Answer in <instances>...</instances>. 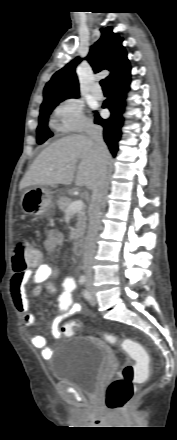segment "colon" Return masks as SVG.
Wrapping results in <instances>:
<instances>
[{
	"label": "colon",
	"instance_id": "obj_1",
	"mask_svg": "<svg viewBox=\"0 0 177 440\" xmlns=\"http://www.w3.org/2000/svg\"><path fill=\"white\" fill-rule=\"evenodd\" d=\"M42 260L41 252L33 246L26 238L18 239L13 247V268L16 272L28 270ZM79 327V322L75 319L65 323L61 332L66 336L73 335L75 329ZM104 339L112 344L119 346L122 350L130 354L134 363L125 364L118 376L108 385L104 402L106 407L112 411L124 409L135 393L136 384L146 379L149 373V355L146 349L130 339H119L111 334H104Z\"/></svg>",
	"mask_w": 177,
	"mask_h": 440
}]
</instances>
